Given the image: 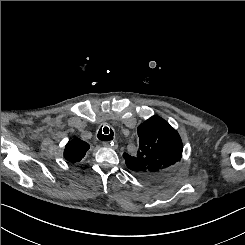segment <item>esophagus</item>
<instances>
[{"label": "esophagus", "mask_w": 245, "mask_h": 245, "mask_svg": "<svg viewBox=\"0 0 245 245\" xmlns=\"http://www.w3.org/2000/svg\"><path fill=\"white\" fill-rule=\"evenodd\" d=\"M102 145H103L104 147H110V146H111V143L108 142V141H104V142L102 143Z\"/></svg>", "instance_id": "esophagus-1"}]
</instances>
